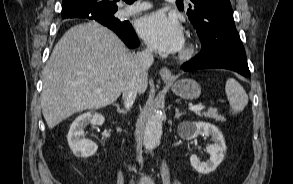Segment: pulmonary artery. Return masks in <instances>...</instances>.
<instances>
[{
    "instance_id": "e3ab8cb5",
    "label": "pulmonary artery",
    "mask_w": 293,
    "mask_h": 184,
    "mask_svg": "<svg viewBox=\"0 0 293 184\" xmlns=\"http://www.w3.org/2000/svg\"><path fill=\"white\" fill-rule=\"evenodd\" d=\"M167 1L173 2L175 0H167ZM149 7H150V5L148 3H137V4L130 5V6H127V7L123 8L120 11V14L123 15V16H128V15H132V14H135L137 12L146 10Z\"/></svg>"
}]
</instances>
